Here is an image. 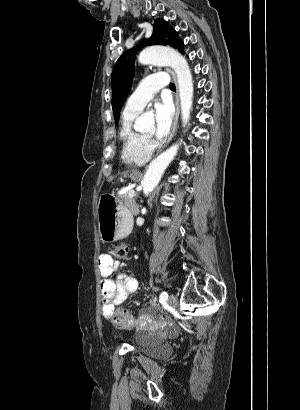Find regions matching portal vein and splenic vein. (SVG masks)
<instances>
[{"label":"portal vein and splenic vein","instance_id":"obj_1","mask_svg":"<svg viewBox=\"0 0 300 410\" xmlns=\"http://www.w3.org/2000/svg\"><path fill=\"white\" fill-rule=\"evenodd\" d=\"M135 194H136V193H135L134 190H130L129 193H128V195H129L130 197H134Z\"/></svg>","mask_w":300,"mask_h":410}]
</instances>
